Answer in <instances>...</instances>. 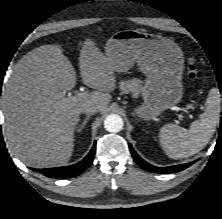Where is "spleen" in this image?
<instances>
[{
	"mask_svg": "<svg viewBox=\"0 0 222 219\" xmlns=\"http://www.w3.org/2000/svg\"><path fill=\"white\" fill-rule=\"evenodd\" d=\"M220 93L213 88L206 100V109L188 130L167 124L160 130L159 139L166 154L173 159L188 158L201 151L212 138L220 120Z\"/></svg>",
	"mask_w": 222,
	"mask_h": 219,
	"instance_id": "1",
	"label": "spleen"
}]
</instances>
